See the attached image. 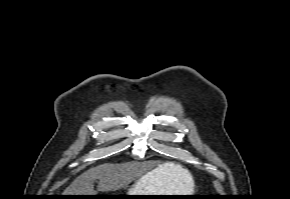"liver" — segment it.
Listing matches in <instances>:
<instances>
[{"mask_svg":"<svg viewBox=\"0 0 290 199\" xmlns=\"http://www.w3.org/2000/svg\"><path fill=\"white\" fill-rule=\"evenodd\" d=\"M156 169L157 176L165 181V188L170 192L184 191L192 182L189 171L173 162L161 164ZM150 172L146 173L145 165L139 162L101 164L78 176L63 195H96L93 185L96 179L99 180L98 191L119 190Z\"/></svg>","mask_w":290,"mask_h":199,"instance_id":"1","label":"liver"}]
</instances>
